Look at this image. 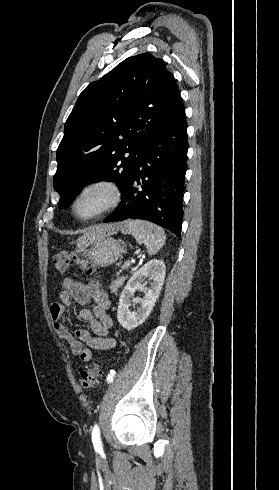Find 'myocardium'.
Listing matches in <instances>:
<instances>
[{"label":"myocardium","mask_w":279,"mask_h":490,"mask_svg":"<svg viewBox=\"0 0 279 490\" xmlns=\"http://www.w3.org/2000/svg\"><path fill=\"white\" fill-rule=\"evenodd\" d=\"M91 189H97L106 194L105 199L93 210L87 213L79 211L78 206L84 195ZM123 199V191L119 183L106 176L92 177L83 181L76 189L71 203L73 215L80 221H90L117 207Z\"/></svg>","instance_id":"myocardium-1"}]
</instances>
